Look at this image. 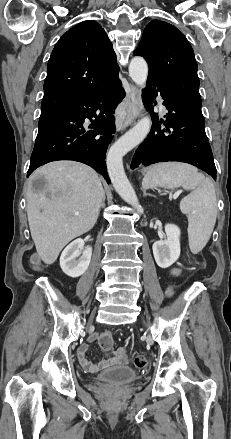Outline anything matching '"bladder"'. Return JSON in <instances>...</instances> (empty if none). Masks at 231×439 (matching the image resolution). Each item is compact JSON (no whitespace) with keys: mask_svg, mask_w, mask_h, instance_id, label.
I'll list each match as a JSON object with an SVG mask.
<instances>
[{"mask_svg":"<svg viewBox=\"0 0 231 439\" xmlns=\"http://www.w3.org/2000/svg\"><path fill=\"white\" fill-rule=\"evenodd\" d=\"M98 378L114 383H130L137 379V373L129 366L120 365L101 372Z\"/></svg>","mask_w":231,"mask_h":439,"instance_id":"1","label":"bladder"}]
</instances>
